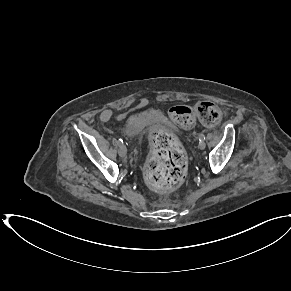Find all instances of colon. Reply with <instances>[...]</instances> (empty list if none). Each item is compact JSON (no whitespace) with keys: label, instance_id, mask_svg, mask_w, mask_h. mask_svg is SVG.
Returning a JSON list of instances; mask_svg holds the SVG:
<instances>
[{"label":"colon","instance_id":"obj_1","mask_svg":"<svg viewBox=\"0 0 291 291\" xmlns=\"http://www.w3.org/2000/svg\"><path fill=\"white\" fill-rule=\"evenodd\" d=\"M173 122L183 128L192 127L197 120L208 126L217 124L221 111L211 102L176 105L168 111ZM188 160L180 143L167 131L160 129L152 136V153L145 167L149 187L157 191H171L183 183Z\"/></svg>","mask_w":291,"mask_h":291}]
</instances>
